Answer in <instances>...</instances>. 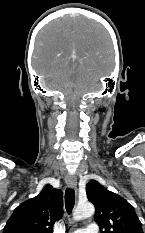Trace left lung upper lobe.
Listing matches in <instances>:
<instances>
[{
	"label": "left lung upper lobe",
	"mask_w": 145,
	"mask_h": 233,
	"mask_svg": "<svg viewBox=\"0 0 145 233\" xmlns=\"http://www.w3.org/2000/svg\"><path fill=\"white\" fill-rule=\"evenodd\" d=\"M86 193L95 206L94 220L101 233H143L134 208L124 198L107 190L96 180L88 182Z\"/></svg>",
	"instance_id": "5c2ea615"
}]
</instances>
